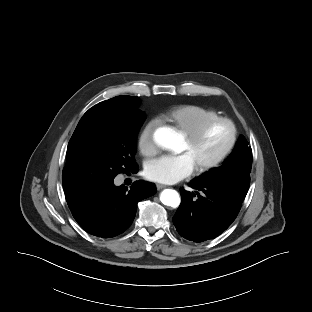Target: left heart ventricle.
<instances>
[{
	"mask_svg": "<svg viewBox=\"0 0 312 312\" xmlns=\"http://www.w3.org/2000/svg\"><path fill=\"white\" fill-rule=\"evenodd\" d=\"M230 136V127L225 123H219L192 146L184 138L179 153L187 154L196 167L217 157L227 146Z\"/></svg>",
	"mask_w": 312,
	"mask_h": 312,
	"instance_id": "left-heart-ventricle-1",
	"label": "left heart ventricle"
}]
</instances>
